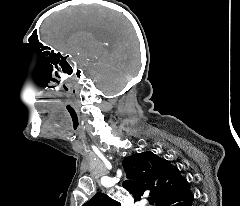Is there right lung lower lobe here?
Here are the masks:
<instances>
[{"label": "right lung lower lobe", "instance_id": "right-lung-lower-lobe-1", "mask_svg": "<svg viewBox=\"0 0 240 206\" xmlns=\"http://www.w3.org/2000/svg\"><path fill=\"white\" fill-rule=\"evenodd\" d=\"M192 200L193 195L189 189V185L187 184L176 194L161 201L158 206H169L174 203V206H191Z\"/></svg>", "mask_w": 240, "mask_h": 206}]
</instances>
